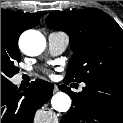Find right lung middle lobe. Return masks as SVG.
<instances>
[{"label":"right lung middle lobe","instance_id":"1","mask_svg":"<svg viewBox=\"0 0 123 123\" xmlns=\"http://www.w3.org/2000/svg\"><path fill=\"white\" fill-rule=\"evenodd\" d=\"M18 38L10 23H1V83L9 81L19 71L16 67L20 62Z\"/></svg>","mask_w":123,"mask_h":123}]
</instances>
